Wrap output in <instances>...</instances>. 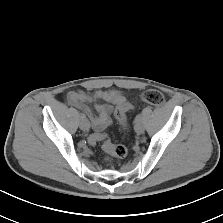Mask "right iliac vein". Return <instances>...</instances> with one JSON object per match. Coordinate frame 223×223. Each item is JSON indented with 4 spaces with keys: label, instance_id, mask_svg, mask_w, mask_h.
Segmentation results:
<instances>
[{
    "label": "right iliac vein",
    "instance_id": "right-iliac-vein-1",
    "mask_svg": "<svg viewBox=\"0 0 223 223\" xmlns=\"http://www.w3.org/2000/svg\"><path fill=\"white\" fill-rule=\"evenodd\" d=\"M80 128L84 131H88L90 128V123L86 118L81 119Z\"/></svg>",
    "mask_w": 223,
    "mask_h": 223
}]
</instances>
